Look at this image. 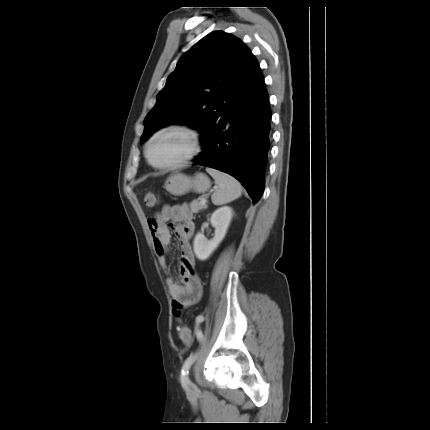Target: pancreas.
I'll return each mask as SVG.
<instances>
[{
  "mask_svg": "<svg viewBox=\"0 0 430 430\" xmlns=\"http://www.w3.org/2000/svg\"><path fill=\"white\" fill-rule=\"evenodd\" d=\"M190 208L193 213H198L200 210L206 208V204H201L198 200H193L190 203Z\"/></svg>",
  "mask_w": 430,
  "mask_h": 430,
  "instance_id": "1",
  "label": "pancreas"
}]
</instances>
